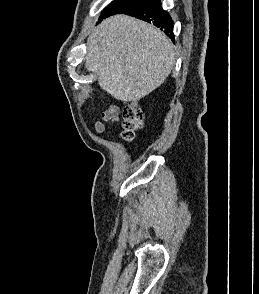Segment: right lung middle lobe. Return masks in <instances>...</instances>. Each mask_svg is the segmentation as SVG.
Segmentation results:
<instances>
[{
    "label": "right lung middle lobe",
    "mask_w": 259,
    "mask_h": 294,
    "mask_svg": "<svg viewBox=\"0 0 259 294\" xmlns=\"http://www.w3.org/2000/svg\"><path fill=\"white\" fill-rule=\"evenodd\" d=\"M140 1L141 0H115V2L109 4L108 7L103 10L99 22L111 15L123 13Z\"/></svg>",
    "instance_id": "obj_1"
}]
</instances>
